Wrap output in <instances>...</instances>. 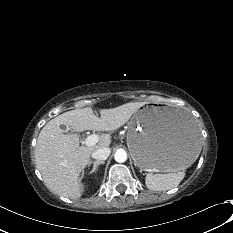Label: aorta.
<instances>
[{
    "label": "aorta",
    "mask_w": 233,
    "mask_h": 233,
    "mask_svg": "<svg viewBox=\"0 0 233 233\" xmlns=\"http://www.w3.org/2000/svg\"><path fill=\"white\" fill-rule=\"evenodd\" d=\"M114 159L118 163H123L127 160V153L124 149H118L114 154Z\"/></svg>",
    "instance_id": "aorta-1"
}]
</instances>
